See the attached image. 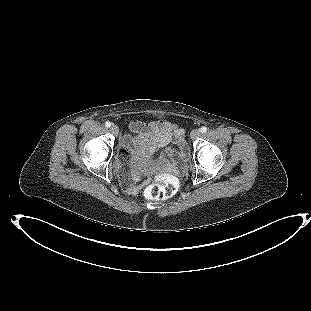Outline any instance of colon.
<instances>
[{
	"mask_svg": "<svg viewBox=\"0 0 311 311\" xmlns=\"http://www.w3.org/2000/svg\"><path fill=\"white\" fill-rule=\"evenodd\" d=\"M130 154L126 150H122L120 153V158L122 160H127ZM120 178L122 184L125 186V179L120 172ZM155 182L148 186L144 194L148 199L160 200L167 199L175 195L178 190V185L176 179L167 174H156L154 175Z\"/></svg>",
	"mask_w": 311,
	"mask_h": 311,
	"instance_id": "colon-1",
	"label": "colon"
}]
</instances>
